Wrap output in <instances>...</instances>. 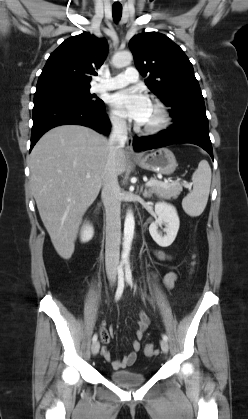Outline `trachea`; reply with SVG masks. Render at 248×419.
<instances>
[{
    "label": "trachea",
    "mask_w": 248,
    "mask_h": 419,
    "mask_svg": "<svg viewBox=\"0 0 248 419\" xmlns=\"http://www.w3.org/2000/svg\"><path fill=\"white\" fill-rule=\"evenodd\" d=\"M112 15L116 22H118L122 15V6L121 5H113L112 6Z\"/></svg>",
    "instance_id": "trachea-1"
}]
</instances>
